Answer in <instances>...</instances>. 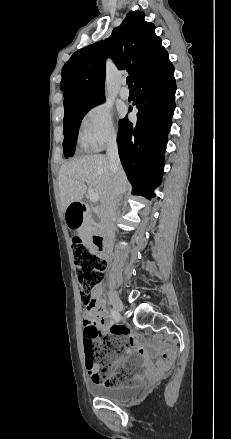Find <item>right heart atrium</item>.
Returning <instances> with one entry per match:
<instances>
[{
	"mask_svg": "<svg viewBox=\"0 0 231 439\" xmlns=\"http://www.w3.org/2000/svg\"><path fill=\"white\" fill-rule=\"evenodd\" d=\"M117 139L113 113L104 103L90 107L81 122V140L89 148L99 150Z\"/></svg>",
	"mask_w": 231,
	"mask_h": 439,
	"instance_id": "obj_1",
	"label": "right heart atrium"
}]
</instances>
